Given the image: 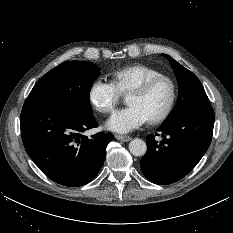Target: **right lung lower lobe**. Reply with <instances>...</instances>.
Listing matches in <instances>:
<instances>
[{"label": "right lung lower lobe", "instance_id": "1", "mask_svg": "<svg viewBox=\"0 0 233 233\" xmlns=\"http://www.w3.org/2000/svg\"><path fill=\"white\" fill-rule=\"evenodd\" d=\"M21 135L28 155L54 182L76 187L90 182L100 170L111 133L88 138L83 133L98 126L93 117L74 107L26 100L20 117Z\"/></svg>", "mask_w": 233, "mask_h": 233}]
</instances>
